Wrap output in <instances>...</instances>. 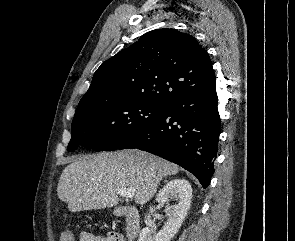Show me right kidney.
I'll return each instance as SVG.
<instances>
[{"label": "right kidney", "mask_w": 295, "mask_h": 241, "mask_svg": "<svg viewBox=\"0 0 295 241\" xmlns=\"http://www.w3.org/2000/svg\"><path fill=\"white\" fill-rule=\"evenodd\" d=\"M192 199V187L188 180L173 179L169 181L157 194L156 202L159 206L168 204L170 200L176 201V204L168 210V220L162 230L155 232L150 214L155 211L152 206L149 214L145 216L147 227L140 232L138 241H170L180 229L188 210L190 209Z\"/></svg>", "instance_id": "obj_1"}]
</instances>
